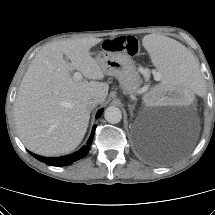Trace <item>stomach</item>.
<instances>
[{
  "label": "stomach",
  "instance_id": "1",
  "mask_svg": "<svg viewBox=\"0 0 215 215\" xmlns=\"http://www.w3.org/2000/svg\"><path fill=\"white\" fill-rule=\"evenodd\" d=\"M96 60L106 75L115 76L126 94H136L142 84L140 73L125 52L100 51Z\"/></svg>",
  "mask_w": 215,
  "mask_h": 215
}]
</instances>
